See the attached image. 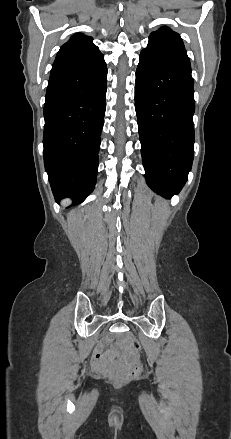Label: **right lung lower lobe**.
Masks as SVG:
<instances>
[{"label":"right lung lower lobe","instance_id":"right-lung-lower-lobe-1","mask_svg":"<svg viewBox=\"0 0 231 439\" xmlns=\"http://www.w3.org/2000/svg\"><path fill=\"white\" fill-rule=\"evenodd\" d=\"M104 57L49 79L44 105V164L57 201L80 204L93 191L106 109Z\"/></svg>","mask_w":231,"mask_h":439}]
</instances>
